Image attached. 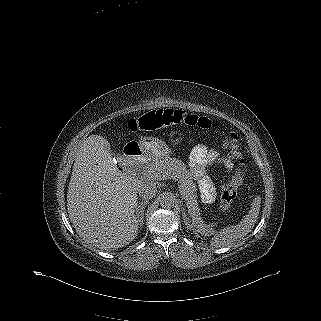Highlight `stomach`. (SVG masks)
Here are the masks:
<instances>
[{"label":"stomach","mask_w":321,"mask_h":321,"mask_svg":"<svg viewBox=\"0 0 321 321\" xmlns=\"http://www.w3.org/2000/svg\"><path fill=\"white\" fill-rule=\"evenodd\" d=\"M141 151L149 156H165L170 153V148L161 140L153 137H143L137 142Z\"/></svg>","instance_id":"obj_1"}]
</instances>
